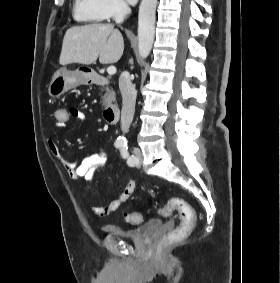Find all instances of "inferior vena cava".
Here are the masks:
<instances>
[{
    "mask_svg": "<svg viewBox=\"0 0 280 283\" xmlns=\"http://www.w3.org/2000/svg\"><path fill=\"white\" fill-rule=\"evenodd\" d=\"M130 11L131 10L128 5H123L124 14L130 13ZM119 88L123 99L121 111V130L123 133H126L133 120L137 95L128 73H122L120 75Z\"/></svg>",
    "mask_w": 280,
    "mask_h": 283,
    "instance_id": "inferior-vena-cava-1",
    "label": "inferior vena cava"
}]
</instances>
